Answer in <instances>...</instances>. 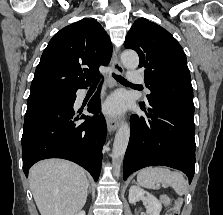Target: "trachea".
<instances>
[{"label": "trachea", "instance_id": "1", "mask_svg": "<svg viewBox=\"0 0 223 215\" xmlns=\"http://www.w3.org/2000/svg\"><path fill=\"white\" fill-rule=\"evenodd\" d=\"M113 77L115 78V80H117V82H120V83H130L124 77H122L121 75H116V73L113 74ZM94 83H98V81H96Z\"/></svg>", "mask_w": 223, "mask_h": 215}]
</instances>
